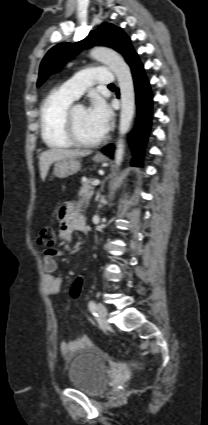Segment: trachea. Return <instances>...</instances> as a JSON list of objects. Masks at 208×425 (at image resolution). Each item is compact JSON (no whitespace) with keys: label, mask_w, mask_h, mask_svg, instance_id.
Returning <instances> with one entry per match:
<instances>
[{"label":"trachea","mask_w":208,"mask_h":425,"mask_svg":"<svg viewBox=\"0 0 208 425\" xmlns=\"http://www.w3.org/2000/svg\"><path fill=\"white\" fill-rule=\"evenodd\" d=\"M114 86H115L114 84H110V85H109V87H114Z\"/></svg>","instance_id":"1"}]
</instances>
